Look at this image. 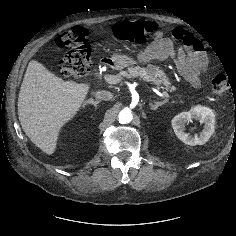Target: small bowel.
Listing matches in <instances>:
<instances>
[{
	"mask_svg": "<svg viewBox=\"0 0 236 236\" xmlns=\"http://www.w3.org/2000/svg\"><path fill=\"white\" fill-rule=\"evenodd\" d=\"M139 61H164L171 59L183 80L198 88L208 68V58L200 41L190 32L176 28L171 36L157 30L153 41L138 54Z\"/></svg>",
	"mask_w": 236,
	"mask_h": 236,
	"instance_id": "c3829d8e",
	"label": "small bowel"
}]
</instances>
